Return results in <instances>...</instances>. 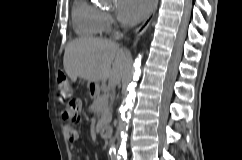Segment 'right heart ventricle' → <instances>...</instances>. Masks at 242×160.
I'll return each instance as SVG.
<instances>
[{"label":"right heart ventricle","mask_w":242,"mask_h":160,"mask_svg":"<svg viewBox=\"0 0 242 160\" xmlns=\"http://www.w3.org/2000/svg\"><path fill=\"white\" fill-rule=\"evenodd\" d=\"M73 22L77 31L86 37H99L105 31L104 12L88 0H76Z\"/></svg>","instance_id":"obj_1"}]
</instances>
